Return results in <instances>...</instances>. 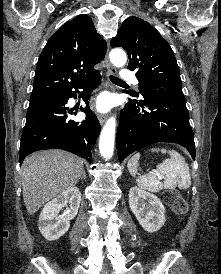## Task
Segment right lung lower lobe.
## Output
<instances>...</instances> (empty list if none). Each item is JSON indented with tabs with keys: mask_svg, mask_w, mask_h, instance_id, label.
<instances>
[{
	"mask_svg": "<svg viewBox=\"0 0 221 274\" xmlns=\"http://www.w3.org/2000/svg\"><path fill=\"white\" fill-rule=\"evenodd\" d=\"M100 80L101 76L97 74L61 95L30 102L20 143V165L30 153L50 148L72 152L91 163V149L100 133V124L89 108L88 100L90 91L100 83ZM73 88L76 92H79L80 88L85 90L83 99L86 107H81L86 113L83 121L70 119V115L76 113L73 112L74 108L69 109L65 106L69 98H76Z\"/></svg>",
	"mask_w": 221,
	"mask_h": 274,
	"instance_id": "1",
	"label": "right lung lower lobe"
}]
</instances>
